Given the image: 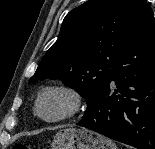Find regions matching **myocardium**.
Segmentation results:
<instances>
[{
  "mask_svg": "<svg viewBox=\"0 0 155 149\" xmlns=\"http://www.w3.org/2000/svg\"><path fill=\"white\" fill-rule=\"evenodd\" d=\"M53 93L64 95L68 100V108L65 113L57 117L48 118L41 113L40 104L42 99L45 96ZM82 106H83L82 95L75 88L67 85H62V84L50 85L43 88L38 93L34 103V113L38 118H40L45 122L58 123V122L67 121L76 117L80 113Z\"/></svg>",
  "mask_w": 155,
  "mask_h": 149,
  "instance_id": "1",
  "label": "myocardium"
}]
</instances>
